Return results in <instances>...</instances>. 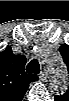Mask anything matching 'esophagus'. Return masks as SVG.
Here are the masks:
<instances>
[{
  "instance_id": "1",
  "label": "esophagus",
  "mask_w": 69,
  "mask_h": 101,
  "mask_svg": "<svg viewBox=\"0 0 69 101\" xmlns=\"http://www.w3.org/2000/svg\"><path fill=\"white\" fill-rule=\"evenodd\" d=\"M40 79L42 80V81H46L47 80V72L46 71H42L41 73H40Z\"/></svg>"
}]
</instances>
